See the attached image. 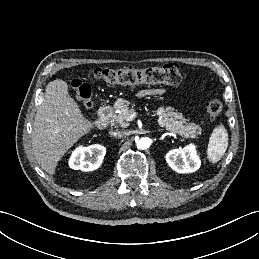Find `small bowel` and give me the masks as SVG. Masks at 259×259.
I'll use <instances>...</instances> for the list:
<instances>
[{
  "label": "small bowel",
  "instance_id": "small-bowel-1",
  "mask_svg": "<svg viewBox=\"0 0 259 259\" xmlns=\"http://www.w3.org/2000/svg\"><path fill=\"white\" fill-rule=\"evenodd\" d=\"M162 93H163L162 89H154V90L143 91L140 93V96H145V95H150V94L158 95V94H162Z\"/></svg>",
  "mask_w": 259,
  "mask_h": 259
}]
</instances>
